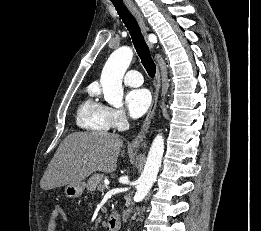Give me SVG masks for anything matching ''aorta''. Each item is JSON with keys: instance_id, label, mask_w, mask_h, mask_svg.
<instances>
[{"instance_id": "obj_1", "label": "aorta", "mask_w": 261, "mask_h": 231, "mask_svg": "<svg viewBox=\"0 0 261 231\" xmlns=\"http://www.w3.org/2000/svg\"><path fill=\"white\" fill-rule=\"evenodd\" d=\"M133 51L129 47L115 50L108 58L101 74L104 99L109 104L120 107L123 105V76L129 67ZM164 154V139L158 134L152 142L144 170L139 178L135 198L142 200L152 188L161 166Z\"/></svg>"}]
</instances>
